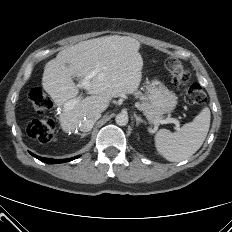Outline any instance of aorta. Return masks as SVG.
<instances>
[{"instance_id":"obj_1","label":"aorta","mask_w":232,"mask_h":232,"mask_svg":"<svg viewBox=\"0 0 232 232\" xmlns=\"http://www.w3.org/2000/svg\"><path fill=\"white\" fill-rule=\"evenodd\" d=\"M115 121H116L117 125L125 126L128 123V115L125 113H119L116 116Z\"/></svg>"}]
</instances>
